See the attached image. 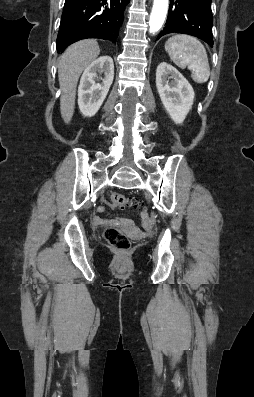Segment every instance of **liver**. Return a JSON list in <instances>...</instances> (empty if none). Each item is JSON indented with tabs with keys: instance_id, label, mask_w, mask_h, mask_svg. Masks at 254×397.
Segmentation results:
<instances>
[{
	"instance_id": "liver-1",
	"label": "liver",
	"mask_w": 254,
	"mask_h": 397,
	"mask_svg": "<svg viewBox=\"0 0 254 397\" xmlns=\"http://www.w3.org/2000/svg\"><path fill=\"white\" fill-rule=\"evenodd\" d=\"M100 54L96 40L87 39L69 46L58 63V77L61 89L60 111L65 123L72 119L75 107L76 88L81 73Z\"/></svg>"
}]
</instances>
